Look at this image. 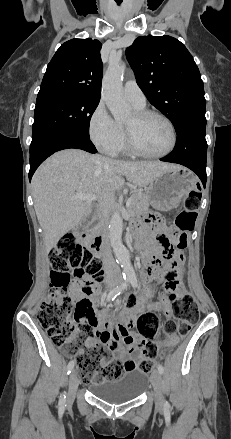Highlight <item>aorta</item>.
<instances>
[{
	"instance_id": "1",
	"label": "aorta",
	"mask_w": 231,
	"mask_h": 439,
	"mask_svg": "<svg viewBox=\"0 0 231 439\" xmlns=\"http://www.w3.org/2000/svg\"><path fill=\"white\" fill-rule=\"evenodd\" d=\"M126 65L120 62H110L103 77L102 98L115 121L122 122L129 118L130 108L127 105L122 90V79ZM123 219L119 212H115L110 219L109 238L115 257L121 264L124 274L133 278L135 272L130 260V253L122 242Z\"/></svg>"
}]
</instances>
